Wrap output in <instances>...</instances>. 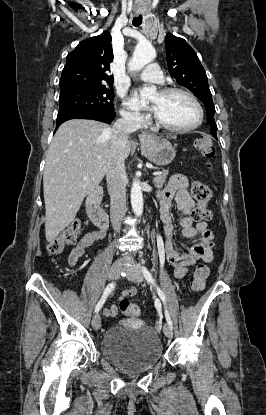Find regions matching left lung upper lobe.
<instances>
[{"label": "left lung upper lobe", "instance_id": "1", "mask_svg": "<svg viewBox=\"0 0 266 415\" xmlns=\"http://www.w3.org/2000/svg\"><path fill=\"white\" fill-rule=\"evenodd\" d=\"M168 71L178 84L189 89L204 104L212 136L217 139L212 101L206 72L195 51L183 38L167 34L165 39Z\"/></svg>", "mask_w": 266, "mask_h": 415}]
</instances>
